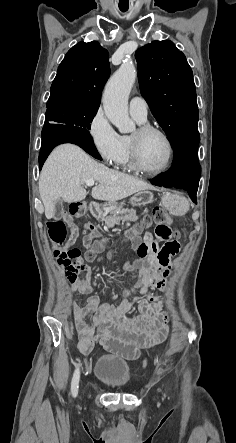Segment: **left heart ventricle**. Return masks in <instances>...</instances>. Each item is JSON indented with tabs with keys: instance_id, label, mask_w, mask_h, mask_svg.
<instances>
[{
	"instance_id": "1",
	"label": "left heart ventricle",
	"mask_w": 236,
	"mask_h": 443,
	"mask_svg": "<svg viewBox=\"0 0 236 443\" xmlns=\"http://www.w3.org/2000/svg\"><path fill=\"white\" fill-rule=\"evenodd\" d=\"M140 153L143 164L152 170L162 168L169 156L166 141L157 133H150L141 139Z\"/></svg>"
}]
</instances>
